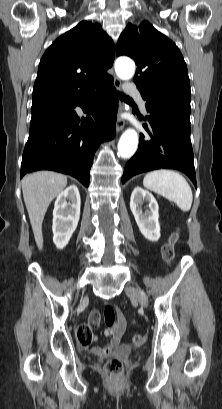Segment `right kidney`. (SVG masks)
Returning <instances> with one entry per match:
<instances>
[{
	"instance_id": "obj_1",
	"label": "right kidney",
	"mask_w": 222,
	"mask_h": 409,
	"mask_svg": "<svg viewBox=\"0 0 222 409\" xmlns=\"http://www.w3.org/2000/svg\"><path fill=\"white\" fill-rule=\"evenodd\" d=\"M80 194L76 185L72 184L62 191L53 210V242L58 249H63L77 228L80 218Z\"/></svg>"
}]
</instances>
